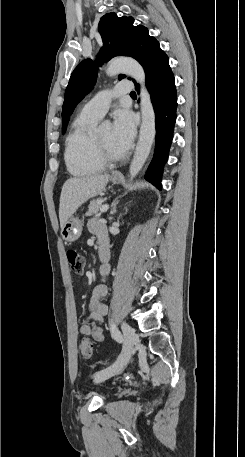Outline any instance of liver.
<instances>
[{
  "mask_svg": "<svg viewBox=\"0 0 245 457\" xmlns=\"http://www.w3.org/2000/svg\"><path fill=\"white\" fill-rule=\"evenodd\" d=\"M110 174H89L83 178H68L61 190L59 204L60 226L74 214L75 210L92 196L104 190Z\"/></svg>",
  "mask_w": 245,
  "mask_h": 457,
  "instance_id": "1",
  "label": "liver"
}]
</instances>
